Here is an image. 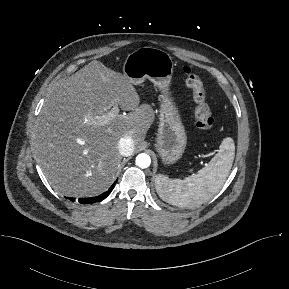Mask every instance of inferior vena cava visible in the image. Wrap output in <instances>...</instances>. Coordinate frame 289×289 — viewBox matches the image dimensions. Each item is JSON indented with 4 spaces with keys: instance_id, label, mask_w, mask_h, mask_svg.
<instances>
[{
    "instance_id": "602c4592",
    "label": "inferior vena cava",
    "mask_w": 289,
    "mask_h": 289,
    "mask_svg": "<svg viewBox=\"0 0 289 289\" xmlns=\"http://www.w3.org/2000/svg\"><path fill=\"white\" fill-rule=\"evenodd\" d=\"M118 148L122 156H129L133 153L134 144L130 136H123L119 140Z\"/></svg>"
}]
</instances>
